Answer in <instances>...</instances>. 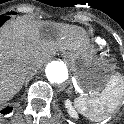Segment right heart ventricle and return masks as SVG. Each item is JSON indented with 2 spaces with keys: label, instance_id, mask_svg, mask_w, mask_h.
I'll list each match as a JSON object with an SVG mask.
<instances>
[{
  "label": "right heart ventricle",
  "instance_id": "obj_1",
  "mask_svg": "<svg viewBox=\"0 0 124 124\" xmlns=\"http://www.w3.org/2000/svg\"><path fill=\"white\" fill-rule=\"evenodd\" d=\"M105 46V41L103 39H96L94 41V48L100 50Z\"/></svg>",
  "mask_w": 124,
  "mask_h": 124
}]
</instances>
